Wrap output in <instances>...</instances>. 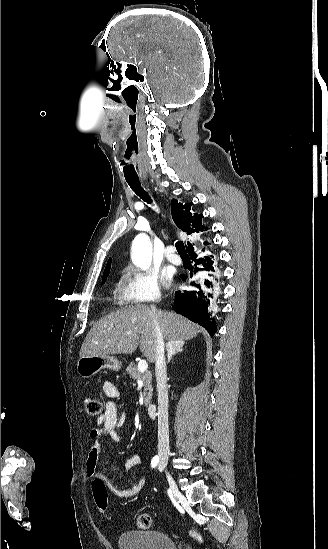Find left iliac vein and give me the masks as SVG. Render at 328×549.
Here are the masks:
<instances>
[{"label": "left iliac vein", "mask_w": 328, "mask_h": 549, "mask_svg": "<svg viewBox=\"0 0 328 549\" xmlns=\"http://www.w3.org/2000/svg\"><path fill=\"white\" fill-rule=\"evenodd\" d=\"M158 468H159V470H160V471H162V467H161V465H160V464L158 465Z\"/></svg>", "instance_id": "1"}]
</instances>
